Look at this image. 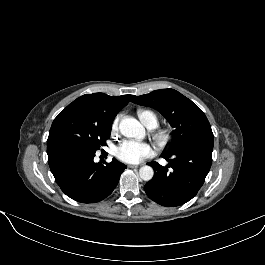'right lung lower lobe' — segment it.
Wrapping results in <instances>:
<instances>
[{"mask_svg":"<svg viewBox=\"0 0 265 265\" xmlns=\"http://www.w3.org/2000/svg\"><path fill=\"white\" fill-rule=\"evenodd\" d=\"M95 152L71 142L47 145L50 170L61 190L75 201L103 200L112 193L126 168L115 159L110 163H95Z\"/></svg>","mask_w":265,"mask_h":265,"instance_id":"1","label":"right lung lower lobe"}]
</instances>
